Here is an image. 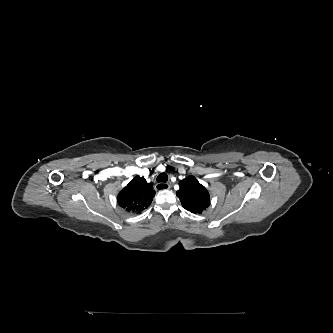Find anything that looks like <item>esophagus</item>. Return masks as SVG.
<instances>
[{"label": "esophagus", "instance_id": "34e87169", "mask_svg": "<svg viewBox=\"0 0 333 333\" xmlns=\"http://www.w3.org/2000/svg\"><path fill=\"white\" fill-rule=\"evenodd\" d=\"M155 187L157 190L160 191V190L170 189L171 186L168 183H157Z\"/></svg>", "mask_w": 333, "mask_h": 333}]
</instances>
